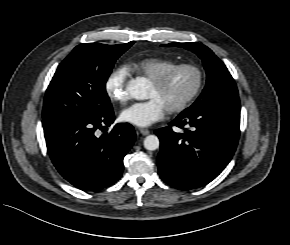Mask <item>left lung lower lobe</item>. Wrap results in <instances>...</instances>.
<instances>
[{
  "mask_svg": "<svg viewBox=\"0 0 290 245\" xmlns=\"http://www.w3.org/2000/svg\"><path fill=\"white\" fill-rule=\"evenodd\" d=\"M239 124L240 109L207 105L183 111L169 127L155 131L160 139V177L181 190L211 182L235 152ZM171 126L182 128L184 132H174Z\"/></svg>",
  "mask_w": 290,
  "mask_h": 245,
  "instance_id": "0a47b994",
  "label": "left lung lower lobe"
}]
</instances>
